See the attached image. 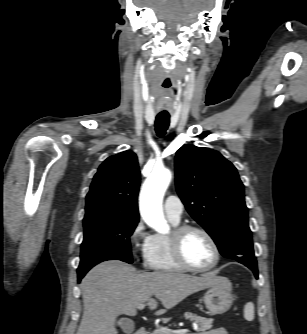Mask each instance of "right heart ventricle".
<instances>
[{
    "label": "right heart ventricle",
    "instance_id": "right-heart-ventricle-1",
    "mask_svg": "<svg viewBox=\"0 0 307 334\" xmlns=\"http://www.w3.org/2000/svg\"><path fill=\"white\" fill-rule=\"evenodd\" d=\"M173 224H177L174 223ZM146 266L155 271L179 272L182 268L174 260L169 240L164 235H153L148 253L145 257Z\"/></svg>",
    "mask_w": 307,
    "mask_h": 334
}]
</instances>
